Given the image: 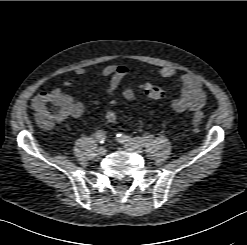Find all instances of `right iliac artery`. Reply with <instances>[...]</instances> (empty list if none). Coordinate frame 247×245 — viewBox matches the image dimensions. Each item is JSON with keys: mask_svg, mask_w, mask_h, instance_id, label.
I'll use <instances>...</instances> for the list:
<instances>
[{"mask_svg": "<svg viewBox=\"0 0 247 245\" xmlns=\"http://www.w3.org/2000/svg\"><path fill=\"white\" fill-rule=\"evenodd\" d=\"M95 137L99 143L103 144L105 142L106 135L102 130L97 131Z\"/></svg>", "mask_w": 247, "mask_h": 245, "instance_id": "right-iliac-artery-1", "label": "right iliac artery"}]
</instances>
